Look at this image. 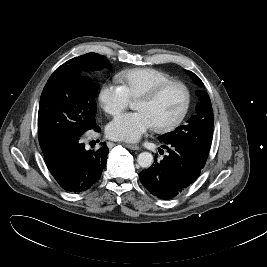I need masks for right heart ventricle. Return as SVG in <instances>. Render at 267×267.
<instances>
[{
    "label": "right heart ventricle",
    "instance_id": "1",
    "mask_svg": "<svg viewBox=\"0 0 267 267\" xmlns=\"http://www.w3.org/2000/svg\"><path fill=\"white\" fill-rule=\"evenodd\" d=\"M117 78L131 100L137 99L162 83L173 80L167 73L155 68L125 70Z\"/></svg>",
    "mask_w": 267,
    "mask_h": 267
}]
</instances>
